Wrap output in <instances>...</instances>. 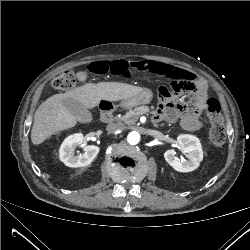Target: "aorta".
Here are the masks:
<instances>
[{"label": "aorta", "mask_w": 250, "mask_h": 250, "mask_svg": "<svg viewBox=\"0 0 250 250\" xmlns=\"http://www.w3.org/2000/svg\"><path fill=\"white\" fill-rule=\"evenodd\" d=\"M127 141L131 145H135L140 141V134L136 131L130 132L127 136Z\"/></svg>", "instance_id": "aorta-1"}]
</instances>
